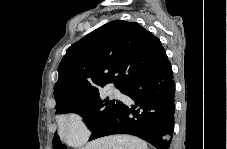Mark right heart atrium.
<instances>
[{"label":"right heart atrium","instance_id":"obj_1","mask_svg":"<svg viewBox=\"0 0 227 149\" xmlns=\"http://www.w3.org/2000/svg\"><path fill=\"white\" fill-rule=\"evenodd\" d=\"M62 134L71 144H81L87 137V128L77 114L64 116L60 122Z\"/></svg>","mask_w":227,"mask_h":149}]
</instances>
